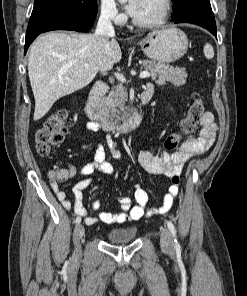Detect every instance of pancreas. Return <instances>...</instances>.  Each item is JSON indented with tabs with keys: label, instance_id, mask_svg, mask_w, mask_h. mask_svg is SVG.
Segmentation results:
<instances>
[{
	"label": "pancreas",
	"instance_id": "1",
	"mask_svg": "<svg viewBox=\"0 0 247 296\" xmlns=\"http://www.w3.org/2000/svg\"><path fill=\"white\" fill-rule=\"evenodd\" d=\"M142 65L146 71L152 74V78L156 79L159 84L170 82L174 85H184L186 83L187 73L183 67H172L154 61L143 60ZM127 101V93L122 84L115 86L101 100L100 106L103 115L108 118L113 124H118L120 120L128 116L129 108L125 106Z\"/></svg>",
	"mask_w": 247,
	"mask_h": 296
}]
</instances>
